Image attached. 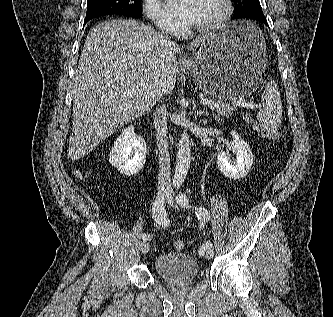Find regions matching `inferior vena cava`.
<instances>
[{
  "mask_svg": "<svg viewBox=\"0 0 333 317\" xmlns=\"http://www.w3.org/2000/svg\"><path fill=\"white\" fill-rule=\"evenodd\" d=\"M169 31L162 27V32ZM167 110L164 105H159L154 113V127L157 139V146L159 150V172H158V186L160 188H169L171 183L170 178V156L168 151V137H167Z\"/></svg>",
  "mask_w": 333,
  "mask_h": 317,
  "instance_id": "inferior-vena-cava-1",
  "label": "inferior vena cava"
}]
</instances>
